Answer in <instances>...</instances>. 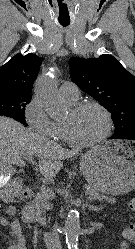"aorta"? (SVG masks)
<instances>
[{"mask_svg": "<svg viewBox=\"0 0 135 249\" xmlns=\"http://www.w3.org/2000/svg\"><path fill=\"white\" fill-rule=\"evenodd\" d=\"M56 70L52 69L42 75L35 87L36 99L46 107L49 112H56L62 108V99L57 89ZM65 236L68 249H78L80 235V219L77 210H70L65 221Z\"/></svg>", "mask_w": 135, "mask_h": 249, "instance_id": "762f6f07", "label": "aorta"}]
</instances>
